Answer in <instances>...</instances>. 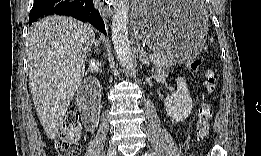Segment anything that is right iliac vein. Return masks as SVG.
<instances>
[{
	"label": "right iliac vein",
	"mask_w": 261,
	"mask_h": 156,
	"mask_svg": "<svg viewBox=\"0 0 261 156\" xmlns=\"http://www.w3.org/2000/svg\"><path fill=\"white\" fill-rule=\"evenodd\" d=\"M117 150L114 147H109L107 150V156H116Z\"/></svg>",
	"instance_id": "1"
}]
</instances>
